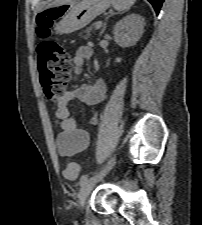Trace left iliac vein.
<instances>
[{
  "label": "left iliac vein",
  "instance_id": "left-iliac-vein-1",
  "mask_svg": "<svg viewBox=\"0 0 202 225\" xmlns=\"http://www.w3.org/2000/svg\"><path fill=\"white\" fill-rule=\"evenodd\" d=\"M114 165V162H112L111 164H109L103 171L100 175H96L94 177H91L90 179L86 180L81 188H80V191H79V195H78V198H79V203H80V206H83L85 204V201L90 193V191L92 190L93 186L95 185V183L102 179L106 174H108V172L112 169Z\"/></svg>",
  "mask_w": 202,
  "mask_h": 225
}]
</instances>
